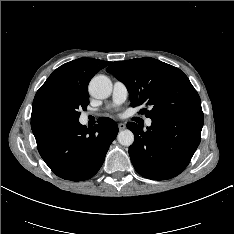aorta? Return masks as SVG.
Masks as SVG:
<instances>
[{
	"mask_svg": "<svg viewBox=\"0 0 234 234\" xmlns=\"http://www.w3.org/2000/svg\"><path fill=\"white\" fill-rule=\"evenodd\" d=\"M89 92L95 98H107L112 92V82L104 75L95 76L90 81ZM117 140L123 146H130L134 142V134L128 129L120 131L117 135Z\"/></svg>",
	"mask_w": 234,
	"mask_h": 234,
	"instance_id": "1",
	"label": "aorta"
}]
</instances>
